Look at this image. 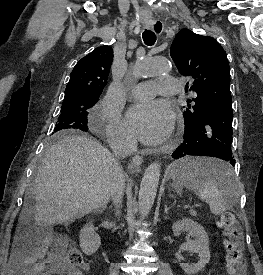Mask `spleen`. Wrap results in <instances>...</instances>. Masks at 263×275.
I'll list each match as a JSON object with an SVG mask.
<instances>
[{
    "label": "spleen",
    "instance_id": "1",
    "mask_svg": "<svg viewBox=\"0 0 263 275\" xmlns=\"http://www.w3.org/2000/svg\"><path fill=\"white\" fill-rule=\"evenodd\" d=\"M174 183L207 202L214 215L223 214L239 197L240 182L232 167L219 159L186 157L170 165Z\"/></svg>",
    "mask_w": 263,
    "mask_h": 275
}]
</instances>
